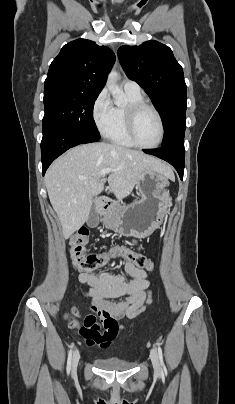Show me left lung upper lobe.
<instances>
[{
  "instance_id": "left-lung-upper-lobe-1",
  "label": "left lung upper lobe",
  "mask_w": 235,
  "mask_h": 404,
  "mask_svg": "<svg viewBox=\"0 0 235 404\" xmlns=\"http://www.w3.org/2000/svg\"><path fill=\"white\" fill-rule=\"evenodd\" d=\"M118 57L128 78L146 91L161 114L165 128L162 146L183 142L186 84L183 69L172 50L152 40L139 46H122Z\"/></svg>"
}]
</instances>
